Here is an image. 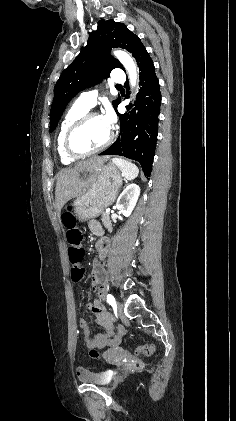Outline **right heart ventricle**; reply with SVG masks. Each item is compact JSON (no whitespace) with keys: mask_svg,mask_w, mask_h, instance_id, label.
<instances>
[{"mask_svg":"<svg viewBox=\"0 0 236 421\" xmlns=\"http://www.w3.org/2000/svg\"><path fill=\"white\" fill-rule=\"evenodd\" d=\"M87 110L81 108L78 104H74L64 115L61 123H60V127L58 130V134H57V139H56V147H57V152L59 155V159L61 161V163L65 164V165H69L71 163H73L75 161L74 158H72L71 156H69L65 149H64V136L65 133L68 129V127L71 125V123L77 119L79 116H81L83 113H85Z\"/></svg>","mask_w":236,"mask_h":421,"instance_id":"1","label":"right heart ventricle"}]
</instances>
